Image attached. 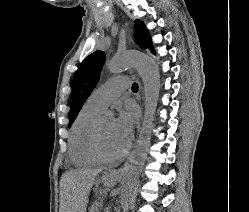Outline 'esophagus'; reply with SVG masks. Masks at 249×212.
Listing matches in <instances>:
<instances>
[{
    "mask_svg": "<svg viewBox=\"0 0 249 212\" xmlns=\"http://www.w3.org/2000/svg\"><path fill=\"white\" fill-rule=\"evenodd\" d=\"M112 175H121V172H120L119 170L113 171V172H112Z\"/></svg>",
    "mask_w": 249,
    "mask_h": 212,
    "instance_id": "esophagus-1",
    "label": "esophagus"
}]
</instances>
